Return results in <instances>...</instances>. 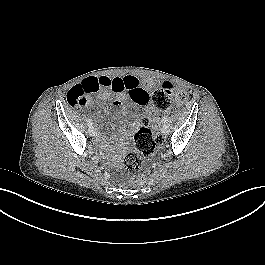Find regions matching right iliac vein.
I'll return each instance as SVG.
<instances>
[{
    "label": "right iliac vein",
    "mask_w": 265,
    "mask_h": 265,
    "mask_svg": "<svg viewBox=\"0 0 265 265\" xmlns=\"http://www.w3.org/2000/svg\"><path fill=\"white\" fill-rule=\"evenodd\" d=\"M88 133H89V135L92 136V137L96 135V131H95L94 128H89Z\"/></svg>",
    "instance_id": "1"
}]
</instances>
